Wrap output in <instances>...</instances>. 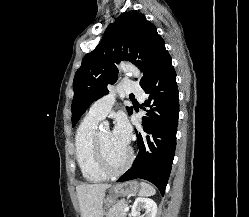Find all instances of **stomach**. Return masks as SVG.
Masks as SVG:
<instances>
[{
  "instance_id": "0dacf381",
  "label": "stomach",
  "mask_w": 249,
  "mask_h": 217,
  "mask_svg": "<svg viewBox=\"0 0 249 217\" xmlns=\"http://www.w3.org/2000/svg\"><path fill=\"white\" fill-rule=\"evenodd\" d=\"M140 190V185L137 181H128L121 184L111 186L109 195L104 200L105 208H110L118 198L137 194Z\"/></svg>"
}]
</instances>
